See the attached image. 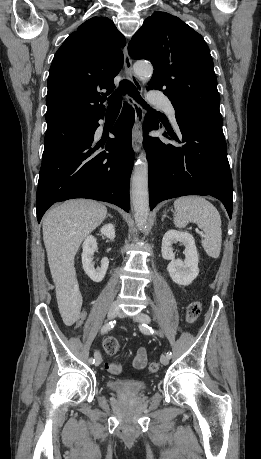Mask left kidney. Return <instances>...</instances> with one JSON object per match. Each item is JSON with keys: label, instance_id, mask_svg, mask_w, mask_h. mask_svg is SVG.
<instances>
[{"label": "left kidney", "instance_id": "5707ae66", "mask_svg": "<svg viewBox=\"0 0 261 459\" xmlns=\"http://www.w3.org/2000/svg\"><path fill=\"white\" fill-rule=\"evenodd\" d=\"M181 242L185 246V260L175 259L173 244ZM162 257L170 260L167 266L171 279L178 285L187 286L198 276V252L193 236L188 232L169 230L162 239Z\"/></svg>", "mask_w": 261, "mask_h": 459}]
</instances>
